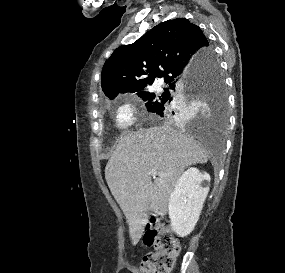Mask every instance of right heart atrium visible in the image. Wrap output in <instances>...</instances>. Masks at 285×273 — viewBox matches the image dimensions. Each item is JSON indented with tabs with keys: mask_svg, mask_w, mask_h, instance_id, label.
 <instances>
[{
	"mask_svg": "<svg viewBox=\"0 0 285 273\" xmlns=\"http://www.w3.org/2000/svg\"><path fill=\"white\" fill-rule=\"evenodd\" d=\"M137 110L133 103L126 102L118 107L115 122L118 128L128 129L136 122Z\"/></svg>",
	"mask_w": 285,
	"mask_h": 273,
	"instance_id": "d8ad5b80",
	"label": "right heart atrium"
}]
</instances>
